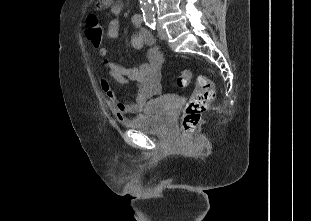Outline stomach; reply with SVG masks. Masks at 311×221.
<instances>
[{"instance_id":"stomach-1","label":"stomach","mask_w":311,"mask_h":221,"mask_svg":"<svg viewBox=\"0 0 311 221\" xmlns=\"http://www.w3.org/2000/svg\"><path fill=\"white\" fill-rule=\"evenodd\" d=\"M108 0H96V6L97 8H101V6H105L107 4Z\"/></svg>"}]
</instances>
